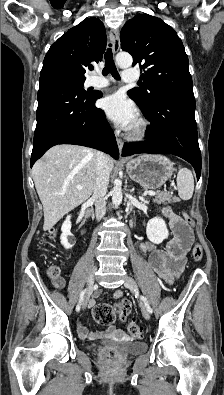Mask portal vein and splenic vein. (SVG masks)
I'll return each instance as SVG.
<instances>
[{
  "label": "portal vein and splenic vein",
  "mask_w": 224,
  "mask_h": 395,
  "mask_svg": "<svg viewBox=\"0 0 224 395\" xmlns=\"http://www.w3.org/2000/svg\"><path fill=\"white\" fill-rule=\"evenodd\" d=\"M77 189H78V190H81L82 187H81V186H77ZM147 194L150 195V196L156 195V193H155L154 191H147Z\"/></svg>",
  "instance_id": "portal-vein-and-splenic-vein-1"
}]
</instances>
